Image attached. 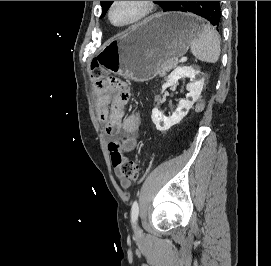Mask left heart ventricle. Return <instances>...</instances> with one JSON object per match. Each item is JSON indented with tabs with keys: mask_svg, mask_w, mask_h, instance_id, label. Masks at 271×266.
Segmentation results:
<instances>
[{
	"mask_svg": "<svg viewBox=\"0 0 271 266\" xmlns=\"http://www.w3.org/2000/svg\"><path fill=\"white\" fill-rule=\"evenodd\" d=\"M141 10L140 1H118L113 8L112 18L118 24L128 23L135 19Z\"/></svg>",
	"mask_w": 271,
	"mask_h": 266,
	"instance_id": "obj_1",
	"label": "left heart ventricle"
}]
</instances>
